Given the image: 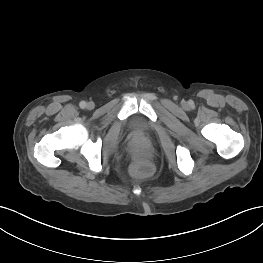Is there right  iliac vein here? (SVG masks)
<instances>
[{
    "label": "right iliac vein",
    "instance_id": "1",
    "mask_svg": "<svg viewBox=\"0 0 263 263\" xmlns=\"http://www.w3.org/2000/svg\"><path fill=\"white\" fill-rule=\"evenodd\" d=\"M87 108H88V109L94 108V103H93V102H89V103L87 104Z\"/></svg>",
    "mask_w": 263,
    "mask_h": 263
}]
</instances>
